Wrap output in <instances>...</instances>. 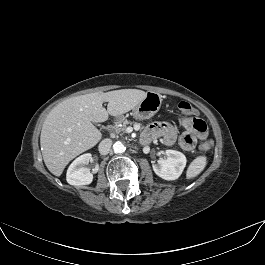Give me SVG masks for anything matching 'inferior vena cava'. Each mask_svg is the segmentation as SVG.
Returning <instances> with one entry per match:
<instances>
[{
    "label": "inferior vena cava",
    "mask_w": 265,
    "mask_h": 265,
    "mask_svg": "<svg viewBox=\"0 0 265 265\" xmlns=\"http://www.w3.org/2000/svg\"><path fill=\"white\" fill-rule=\"evenodd\" d=\"M112 140L111 139H104L100 142L98 146L99 153L101 155H107L111 149Z\"/></svg>",
    "instance_id": "obj_1"
}]
</instances>
